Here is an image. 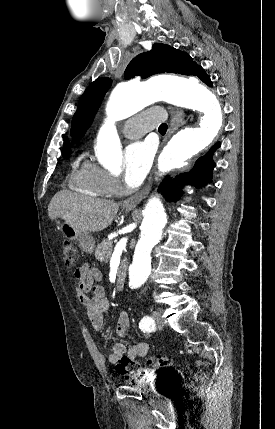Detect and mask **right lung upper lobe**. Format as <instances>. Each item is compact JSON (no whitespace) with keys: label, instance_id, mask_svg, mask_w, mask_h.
<instances>
[{"label":"right lung upper lobe","instance_id":"1","mask_svg":"<svg viewBox=\"0 0 275 429\" xmlns=\"http://www.w3.org/2000/svg\"><path fill=\"white\" fill-rule=\"evenodd\" d=\"M69 149H70V145L68 143V140H66L64 147H63V150H62V155L67 156L69 151H70Z\"/></svg>","mask_w":275,"mask_h":429}]
</instances>
